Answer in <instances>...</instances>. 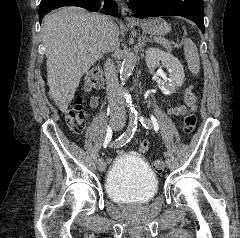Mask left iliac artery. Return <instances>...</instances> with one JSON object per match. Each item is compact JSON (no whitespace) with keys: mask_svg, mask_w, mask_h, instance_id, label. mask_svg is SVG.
<instances>
[{"mask_svg":"<svg viewBox=\"0 0 240 238\" xmlns=\"http://www.w3.org/2000/svg\"><path fill=\"white\" fill-rule=\"evenodd\" d=\"M139 118V121L140 123L146 128V129H150L151 128V121L150 119L144 117V116H140L138 117ZM164 156L165 157H168L169 156V153L168 152H164Z\"/></svg>","mask_w":240,"mask_h":238,"instance_id":"44dca946","label":"left iliac artery"}]
</instances>
